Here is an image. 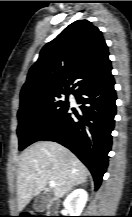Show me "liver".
Returning <instances> with one entry per match:
<instances>
[{
  "mask_svg": "<svg viewBox=\"0 0 132 217\" xmlns=\"http://www.w3.org/2000/svg\"><path fill=\"white\" fill-rule=\"evenodd\" d=\"M88 170L67 148L51 141L37 142L24 150L17 173V210L21 212L48 182L63 197L73 186L86 181Z\"/></svg>",
  "mask_w": 132,
  "mask_h": 217,
  "instance_id": "liver-1",
  "label": "liver"
}]
</instances>
